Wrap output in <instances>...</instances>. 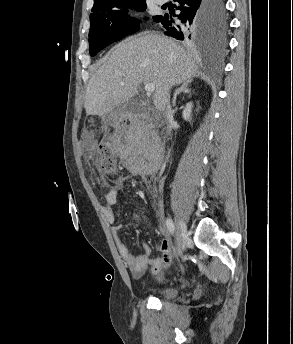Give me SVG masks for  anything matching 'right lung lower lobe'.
<instances>
[{
	"mask_svg": "<svg viewBox=\"0 0 293 344\" xmlns=\"http://www.w3.org/2000/svg\"><path fill=\"white\" fill-rule=\"evenodd\" d=\"M174 1L178 2L176 9L181 11L176 17L179 24L175 23L171 15L160 16L154 20L163 24L167 29L164 32L166 35L185 42H194L208 52L224 43L226 20L224 30L220 31L216 22V0Z\"/></svg>",
	"mask_w": 293,
	"mask_h": 344,
	"instance_id": "obj_1",
	"label": "right lung lower lobe"
}]
</instances>
